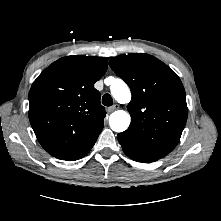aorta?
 <instances>
[{
	"instance_id": "762f6f07",
	"label": "aorta",
	"mask_w": 221,
	"mask_h": 221,
	"mask_svg": "<svg viewBox=\"0 0 221 221\" xmlns=\"http://www.w3.org/2000/svg\"><path fill=\"white\" fill-rule=\"evenodd\" d=\"M113 98L120 104H127L131 100V93L127 84L121 79H114L110 86ZM131 122L128 112L118 110L113 112L109 117L110 128L115 132L125 131Z\"/></svg>"
}]
</instances>
